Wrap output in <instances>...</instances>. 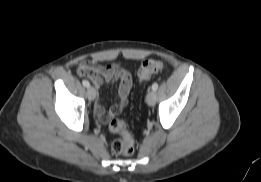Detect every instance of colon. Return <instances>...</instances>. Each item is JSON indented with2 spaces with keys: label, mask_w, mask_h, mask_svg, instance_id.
I'll return each mask as SVG.
<instances>
[{
  "label": "colon",
  "mask_w": 261,
  "mask_h": 182,
  "mask_svg": "<svg viewBox=\"0 0 261 182\" xmlns=\"http://www.w3.org/2000/svg\"><path fill=\"white\" fill-rule=\"evenodd\" d=\"M165 68L163 62L155 59L145 60L139 70L138 79L144 81L149 79L153 74L163 71ZM80 72L83 75H88L89 70L86 67H81ZM109 129L112 133L120 136L119 139L113 141L111 149L118 155H132L135 152V141L133 136L128 130V126L125 121L121 119H113L109 124Z\"/></svg>",
  "instance_id": "5ec220e1"
}]
</instances>
